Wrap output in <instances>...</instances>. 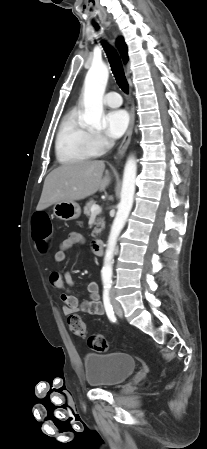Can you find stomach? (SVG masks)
Segmentation results:
<instances>
[{
    "mask_svg": "<svg viewBox=\"0 0 207 449\" xmlns=\"http://www.w3.org/2000/svg\"><path fill=\"white\" fill-rule=\"evenodd\" d=\"M53 214L64 221L79 218L81 215V208L78 203L73 202H58L53 207Z\"/></svg>",
    "mask_w": 207,
    "mask_h": 449,
    "instance_id": "0dacf381",
    "label": "stomach"
}]
</instances>
